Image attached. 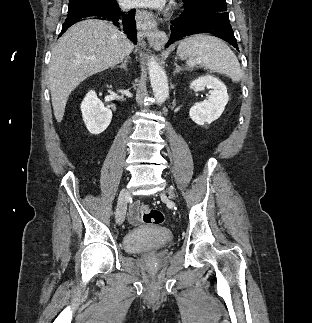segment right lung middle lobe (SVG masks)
Instances as JSON below:
<instances>
[{
  "label": "right lung middle lobe",
  "mask_w": 312,
  "mask_h": 323,
  "mask_svg": "<svg viewBox=\"0 0 312 323\" xmlns=\"http://www.w3.org/2000/svg\"><path fill=\"white\" fill-rule=\"evenodd\" d=\"M116 0H69L68 13L73 10L115 3Z\"/></svg>",
  "instance_id": "dd1d6c3e"
}]
</instances>
